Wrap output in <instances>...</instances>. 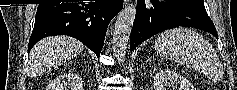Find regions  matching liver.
<instances>
[{
    "label": "liver",
    "mask_w": 237,
    "mask_h": 90,
    "mask_svg": "<svg viewBox=\"0 0 237 90\" xmlns=\"http://www.w3.org/2000/svg\"><path fill=\"white\" fill-rule=\"evenodd\" d=\"M84 46L75 38L69 36H50L43 38L30 52L29 72L44 74L58 68L65 62H70L81 54Z\"/></svg>",
    "instance_id": "1"
}]
</instances>
